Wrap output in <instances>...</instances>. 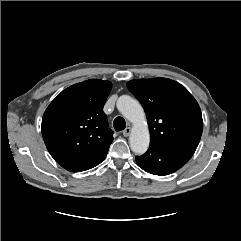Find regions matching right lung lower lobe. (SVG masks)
Listing matches in <instances>:
<instances>
[{"instance_id": "1", "label": "right lung lower lobe", "mask_w": 241, "mask_h": 241, "mask_svg": "<svg viewBox=\"0 0 241 241\" xmlns=\"http://www.w3.org/2000/svg\"><path fill=\"white\" fill-rule=\"evenodd\" d=\"M107 152H108V150L102 152L101 154H99L98 156H96L92 159H89L86 161H81V162H76V163L70 164L64 168L69 171H72V172H80V171L91 169V168L97 166L98 164H100L105 159Z\"/></svg>"}]
</instances>
